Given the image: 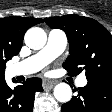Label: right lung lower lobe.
Returning a JSON list of instances; mask_svg holds the SVG:
<instances>
[{
  "label": "right lung lower lobe",
  "instance_id": "obj_1",
  "mask_svg": "<svg viewBox=\"0 0 112 112\" xmlns=\"http://www.w3.org/2000/svg\"><path fill=\"white\" fill-rule=\"evenodd\" d=\"M42 91L40 78H29L14 89L4 80L0 83V112H32L35 93Z\"/></svg>",
  "mask_w": 112,
  "mask_h": 112
}]
</instances>
